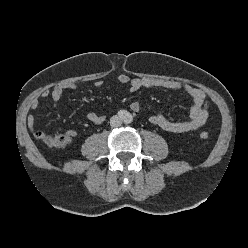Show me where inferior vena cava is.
<instances>
[{"mask_svg":"<svg viewBox=\"0 0 248 248\" xmlns=\"http://www.w3.org/2000/svg\"><path fill=\"white\" fill-rule=\"evenodd\" d=\"M122 124V120L118 116H113L110 119V126L111 127H119Z\"/></svg>","mask_w":248,"mask_h":248,"instance_id":"inferior-vena-cava-1","label":"inferior vena cava"}]
</instances>
